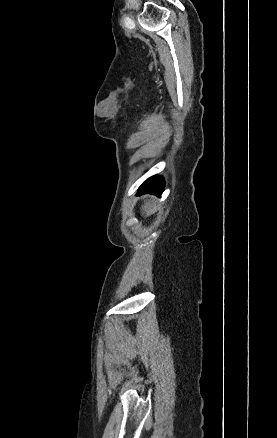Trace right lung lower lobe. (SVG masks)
<instances>
[{
  "label": "right lung lower lobe",
  "mask_w": 277,
  "mask_h": 438,
  "mask_svg": "<svg viewBox=\"0 0 277 438\" xmlns=\"http://www.w3.org/2000/svg\"><path fill=\"white\" fill-rule=\"evenodd\" d=\"M164 190V181L162 177L153 176L146 180L138 190V195L151 193L160 196Z\"/></svg>",
  "instance_id": "obj_1"
}]
</instances>
